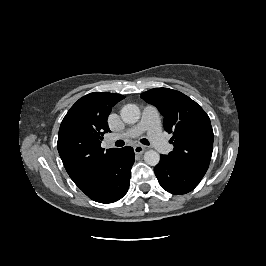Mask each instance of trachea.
Masks as SVG:
<instances>
[{
	"label": "trachea",
	"instance_id": "obj_1",
	"mask_svg": "<svg viewBox=\"0 0 266 266\" xmlns=\"http://www.w3.org/2000/svg\"><path fill=\"white\" fill-rule=\"evenodd\" d=\"M140 142L144 145H150L149 141L145 138L141 139ZM124 144H125V142L123 140H118V141H116L115 146L116 147H122V146H124Z\"/></svg>",
	"mask_w": 266,
	"mask_h": 266
}]
</instances>
